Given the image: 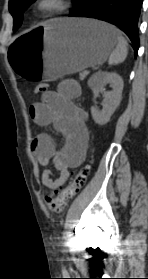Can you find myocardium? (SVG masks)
I'll use <instances>...</instances> for the list:
<instances>
[{"mask_svg": "<svg viewBox=\"0 0 148 279\" xmlns=\"http://www.w3.org/2000/svg\"><path fill=\"white\" fill-rule=\"evenodd\" d=\"M69 4V0H36L34 7L42 15H54L66 10Z\"/></svg>", "mask_w": 148, "mask_h": 279, "instance_id": "f54148a6", "label": "myocardium"}]
</instances>
